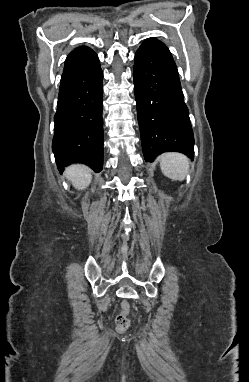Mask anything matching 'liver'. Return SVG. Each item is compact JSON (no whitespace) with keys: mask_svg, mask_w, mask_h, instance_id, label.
Segmentation results:
<instances>
[{"mask_svg":"<svg viewBox=\"0 0 249 382\" xmlns=\"http://www.w3.org/2000/svg\"><path fill=\"white\" fill-rule=\"evenodd\" d=\"M66 178L76 189H85L91 182V171L84 165H71L65 171Z\"/></svg>","mask_w":249,"mask_h":382,"instance_id":"obj_1","label":"liver"}]
</instances>
